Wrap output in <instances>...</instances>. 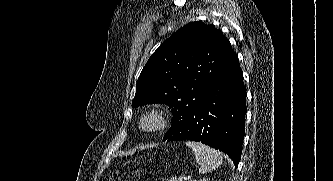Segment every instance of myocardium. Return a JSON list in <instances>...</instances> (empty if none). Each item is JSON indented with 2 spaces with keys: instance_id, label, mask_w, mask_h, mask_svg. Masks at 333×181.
<instances>
[{
  "instance_id": "f54148a6",
  "label": "myocardium",
  "mask_w": 333,
  "mask_h": 181,
  "mask_svg": "<svg viewBox=\"0 0 333 181\" xmlns=\"http://www.w3.org/2000/svg\"><path fill=\"white\" fill-rule=\"evenodd\" d=\"M169 123L167 110L160 105L146 109L140 116L139 129L145 134H152L163 130Z\"/></svg>"
}]
</instances>
